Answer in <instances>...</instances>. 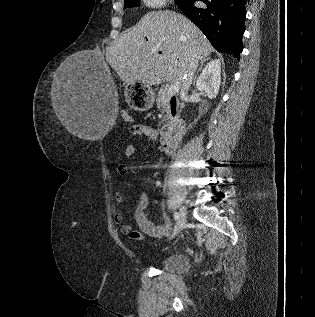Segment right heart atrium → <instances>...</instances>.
Returning <instances> with one entry per match:
<instances>
[{
	"instance_id": "1",
	"label": "right heart atrium",
	"mask_w": 315,
	"mask_h": 317,
	"mask_svg": "<svg viewBox=\"0 0 315 317\" xmlns=\"http://www.w3.org/2000/svg\"><path fill=\"white\" fill-rule=\"evenodd\" d=\"M169 0H143L146 7L150 9H158L167 5Z\"/></svg>"
}]
</instances>
